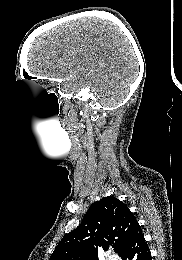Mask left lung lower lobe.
Here are the masks:
<instances>
[{"instance_id": "left-lung-lower-lobe-1", "label": "left lung lower lobe", "mask_w": 182, "mask_h": 260, "mask_svg": "<svg viewBox=\"0 0 182 260\" xmlns=\"http://www.w3.org/2000/svg\"><path fill=\"white\" fill-rule=\"evenodd\" d=\"M120 257L122 260H151L150 250L140 226L132 232Z\"/></svg>"}]
</instances>
